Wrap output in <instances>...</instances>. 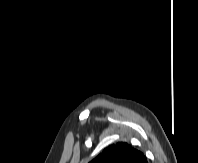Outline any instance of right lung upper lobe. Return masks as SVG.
I'll return each mask as SVG.
<instances>
[{
  "mask_svg": "<svg viewBox=\"0 0 198 163\" xmlns=\"http://www.w3.org/2000/svg\"><path fill=\"white\" fill-rule=\"evenodd\" d=\"M89 163H148L143 153L126 142L106 147Z\"/></svg>",
  "mask_w": 198,
  "mask_h": 163,
  "instance_id": "cb5924a9",
  "label": "right lung upper lobe"
}]
</instances>
